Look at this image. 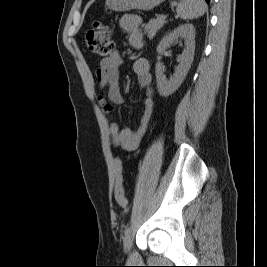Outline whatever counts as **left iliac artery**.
Here are the masks:
<instances>
[{"instance_id": "left-iliac-artery-1", "label": "left iliac artery", "mask_w": 267, "mask_h": 267, "mask_svg": "<svg viewBox=\"0 0 267 267\" xmlns=\"http://www.w3.org/2000/svg\"><path fill=\"white\" fill-rule=\"evenodd\" d=\"M131 231V228L128 226L126 229H125V235L129 234Z\"/></svg>"}]
</instances>
